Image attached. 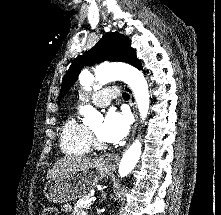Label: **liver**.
<instances>
[{"label": "liver", "mask_w": 221, "mask_h": 215, "mask_svg": "<svg viewBox=\"0 0 221 215\" xmlns=\"http://www.w3.org/2000/svg\"><path fill=\"white\" fill-rule=\"evenodd\" d=\"M95 159L86 157L66 156L54 164L53 168L48 171L47 179L61 178L76 173L90 166Z\"/></svg>", "instance_id": "6515ba94"}]
</instances>
